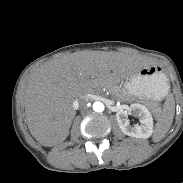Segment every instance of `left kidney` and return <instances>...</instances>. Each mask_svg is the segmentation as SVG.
<instances>
[{
    "instance_id": "obj_1",
    "label": "left kidney",
    "mask_w": 183,
    "mask_h": 183,
    "mask_svg": "<svg viewBox=\"0 0 183 183\" xmlns=\"http://www.w3.org/2000/svg\"><path fill=\"white\" fill-rule=\"evenodd\" d=\"M139 118L140 124L130 125L128 115ZM116 119L122 132L135 138H149L153 133V118L151 112L142 104L133 103L128 110H119Z\"/></svg>"
}]
</instances>
